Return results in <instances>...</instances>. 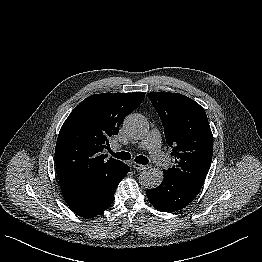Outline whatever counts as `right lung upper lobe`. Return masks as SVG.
<instances>
[{"mask_svg": "<svg viewBox=\"0 0 262 262\" xmlns=\"http://www.w3.org/2000/svg\"><path fill=\"white\" fill-rule=\"evenodd\" d=\"M143 92L102 93L83 100L62 125L55 148L61 185H76L118 173L123 162L102 154L124 118L143 101Z\"/></svg>", "mask_w": 262, "mask_h": 262, "instance_id": "right-lung-upper-lobe-1", "label": "right lung upper lobe"}]
</instances>
